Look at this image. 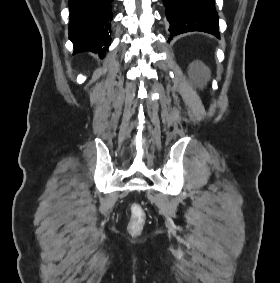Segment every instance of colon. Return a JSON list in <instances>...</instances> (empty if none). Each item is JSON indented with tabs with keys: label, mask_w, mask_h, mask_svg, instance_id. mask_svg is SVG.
Wrapping results in <instances>:
<instances>
[{
	"label": "colon",
	"mask_w": 280,
	"mask_h": 283,
	"mask_svg": "<svg viewBox=\"0 0 280 283\" xmlns=\"http://www.w3.org/2000/svg\"><path fill=\"white\" fill-rule=\"evenodd\" d=\"M131 217L128 223V231L131 234H139L146 223V214L140 204L134 203L130 208Z\"/></svg>",
	"instance_id": "5ec220e1"
}]
</instances>
